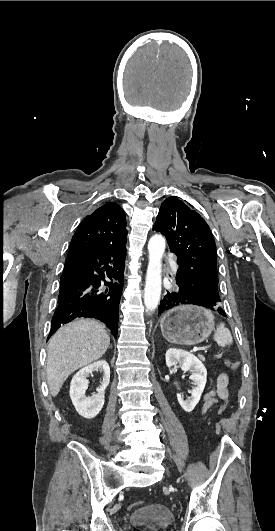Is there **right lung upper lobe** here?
Masks as SVG:
<instances>
[{
  "mask_svg": "<svg viewBox=\"0 0 275 531\" xmlns=\"http://www.w3.org/2000/svg\"><path fill=\"white\" fill-rule=\"evenodd\" d=\"M126 240L125 213L110 202L84 218L72 237L68 256L104 246H121Z\"/></svg>",
  "mask_w": 275,
  "mask_h": 531,
  "instance_id": "right-lung-upper-lobe-1",
  "label": "right lung upper lobe"
}]
</instances>
